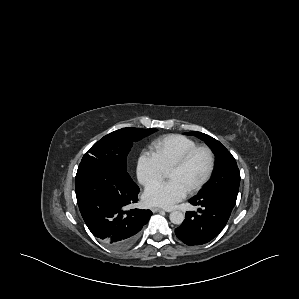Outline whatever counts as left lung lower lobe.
Returning <instances> with one entry per match:
<instances>
[{"label":"left lung lower lobe","mask_w":299,"mask_h":299,"mask_svg":"<svg viewBox=\"0 0 299 299\" xmlns=\"http://www.w3.org/2000/svg\"><path fill=\"white\" fill-rule=\"evenodd\" d=\"M199 205V213L188 211L176 236L185 244L202 245L215 238L225 227L236 201L223 194L196 196L189 201Z\"/></svg>","instance_id":"1"}]
</instances>
